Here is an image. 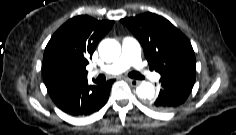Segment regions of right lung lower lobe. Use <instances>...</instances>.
Instances as JSON below:
<instances>
[{"mask_svg":"<svg viewBox=\"0 0 236 135\" xmlns=\"http://www.w3.org/2000/svg\"><path fill=\"white\" fill-rule=\"evenodd\" d=\"M43 79L54 103L72 116H86L100 110L107 102L115 81L89 85L87 75L54 67L43 69Z\"/></svg>","mask_w":236,"mask_h":135,"instance_id":"1","label":"right lung lower lobe"}]
</instances>
